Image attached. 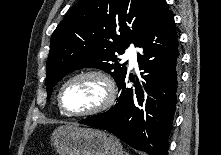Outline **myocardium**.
I'll return each mask as SVG.
<instances>
[{"mask_svg": "<svg viewBox=\"0 0 221 155\" xmlns=\"http://www.w3.org/2000/svg\"><path fill=\"white\" fill-rule=\"evenodd\" d=\"M82 78H95L99 80L104 87V97L97 106H95L90 110L83 112H71L67 110L63 104L62 100L63 92L69 84ZM115 99H116V86L113 79L106 72L97 69H88L75 73L62 84L57 95V103L59 109L64 114L70 117H88V116L98 115L108 110L114 104Z\"/></svg>", "mask_w": 221, "mask_h": 155, "instance_id": "myocardium-1", "label": "myocardium"}]
</instances>
